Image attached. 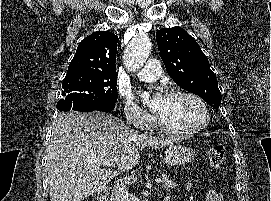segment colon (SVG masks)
<instances>
[{"label": "colon", "instance_id": "1", "mask_svg": "<svg viewBox=\"0 0 271 201\" xmlns=\"http://www.w3.org/2000/svg\"><path fill=\"white\" fill-rule=\"evenodd\" d=\"M225 146L222 143H215L208 150L210 167L213 171H218L224 163Z\"/></svg>", "mask_w": 271, "mask_h": 201}]
</instances>
